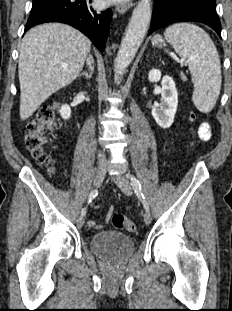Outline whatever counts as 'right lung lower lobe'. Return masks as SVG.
<instances>
[{
	"label": "right lung lower lobe",
	"instance_id": "1",
	"mask_svg": "<svg viewBox=\"0 0 232 311\" xmlns=\"http://www.w3.org/2000/svg\"><path fill=\"white\" fill-rule=\"evenodd\" d=\"M111 18L110 9L95 11L86 0H33L24 33L38 24L62 22L80 30L103 52Z\"/></svg>",
	"mask_w": 232,
	"mask_h": 311
}]
</instances>
